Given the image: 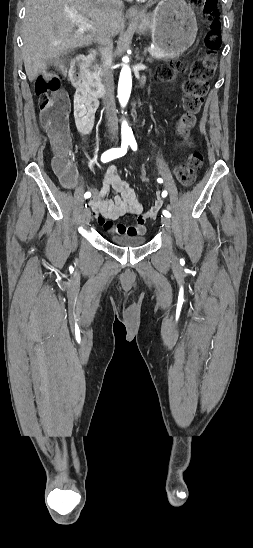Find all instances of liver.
I'll return each instance as SVG.
<instances>
[{
	"mask_svg": "<svg viewBox=\"0 0 253 548\" xmlns=\"http://www.w3.org/2000/svg\"><path fill=\"white\" fill-rule=\"evenodd\" d=\"M76 15L88 19L90 33L80 31L73 18ZM123 25L122 6L114 0H27L22 52L29 81L45 69L49 60L92 45L106 30L116 36Z\"/></svg>",
	"mask_w": 253,
	"mask_h": 548,
	"instance_id": "1",
	"label": "liver"
}]
</instances>
